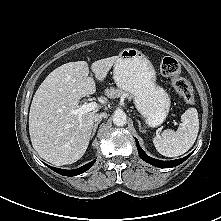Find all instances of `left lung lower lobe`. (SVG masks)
I'll return each instance as SVG.
<instances>
[{"label": "left lung lower lobe", "instance_id": "obj_1", "mask_svg": "<svg viewBox=\"0 0 221 221\" xmlns=\"http://www.w3.org/2000/svg\"><path fill=\"white\" fill-rule=\"evenodd\" d=\"M136 142L138 145L137 146L138 153H139L141 159L144 160L145 162H147L153 166L159 167V168H172V167L178 166L179 164L184 162L192 154V153H190L188 156L181 158V159H177V160L161 161V160L154 159V158L147 156L146 153L142 150V148L139 147V143L137 140H136Z\"/></svg>", "mask_w": 221, "mask_h": 221}]
</instances>
